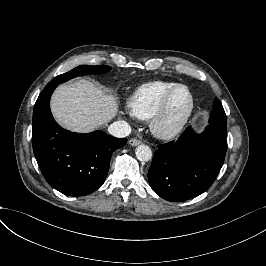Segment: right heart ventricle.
<instances>
[{
  "instance_id": "right-heart-ventricle-1",
  "label": "right heart ventricle",
  "mask_w": 266,
  "mask_h": 266,
  "mask_svg": "<svg viewBox=\"0 0 266 266\" xmlns=\"http://www.w3.org/2000/svg\"><path fill=\"white\" fill-rule=\"evenodd\" d=\"M178 84L172 80H153L141 84L129 100L132 115L140 120H148L163 96Z\"/></svg>"
}]
</instances>
